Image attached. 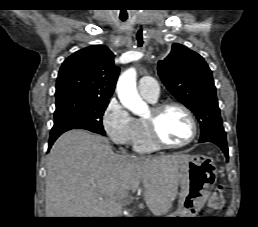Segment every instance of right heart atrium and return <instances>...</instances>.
<instances>
[{"instance_id":"d8ad5b80","label":"right heart atrium","mask_w":258,"mask_h":227,"mask_svg":"<svg viewBox=\"0 0 258 227\" xmlns=\"http://www.w3.org/2000/svg\"><path fill=\"white\" fill-rule=\"evenodd\" d=\"M102 126L111 141L117 145H130L138 132V121L116 99H112L102 117Z\"/></svg>"}]
</instances>
